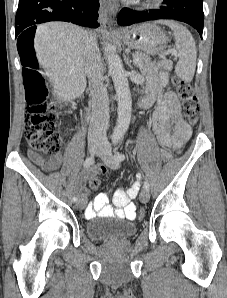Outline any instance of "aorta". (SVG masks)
I'll use <instances>...</instances> for the list:
<instances>
[{
    "label": "aorta",
    "mask_w": 227,
    "mask_h": 298,
    "mask_svg": "<svg viewBox=\"0 0 227 298\" xmlns=\"http://www.w3.org/2000/svg\"><path fill=\"white\" fill-rule=\"evenodd\" d=\"M106 57L109 74L112 77L117 102H118V119L113 131L112 138L119 140L127 131L131 121L132 100L128 84L127 72L119 55L112 45L106 48Z\"/></svg>",
    "instance_id": "obj_1"
}]
</instances>
